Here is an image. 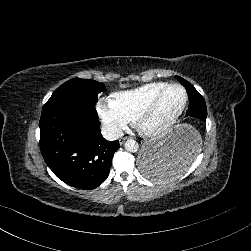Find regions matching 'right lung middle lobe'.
Returning a JSON list of instances; mask_svg holds the SVG:
<instances>
[{
  "label": "right lung middle lobe",
  "instance_id": "right-lung-middle-lobe-1",
  "mask_svg": "<svg viewBox=\"0 0 251 251\" xmlns=\"http://www.w3.org/2000/svg\"><path fill=\"white\" fill-rule=\"evenodd\" d=\"M105 90L102 83L89 79L74 78L57 88L46 105L63 102H80L95 106L97 95Z\"/></svg>",
  "mask_w": 251,
  "mask_h": 251
}]
</instances>
